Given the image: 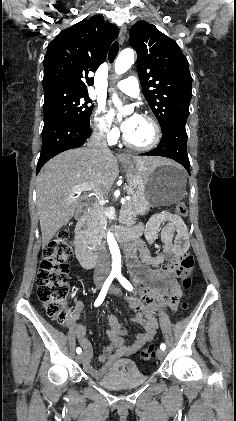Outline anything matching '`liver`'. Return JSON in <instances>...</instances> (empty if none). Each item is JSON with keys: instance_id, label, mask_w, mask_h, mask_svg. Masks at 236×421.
Wrapping results in <instances>:
<instances>
[{"instance_id": "6515ba94", "label": "liver", "mask_w": 236, "mask_h": 421, "mask_svg": "<svg viewBox=\"0 0 236 421\" xmlns=\"http://www.w3.org/2000/svg\"><path fill=\"white\" fill-rule=\"evenodd\" d=\"M135 164H174L155 156H133ZM119 174L118 160L112 152L95 154L90 148H71L50 158L42 166L36 180L37 211L42 233V247L45 249L54 235L68 225L78 211L81 200L89 194L84 190H73L76 184H91L93 194L105 196ZM99 194V196H100Z\"/></svg>"}]
</instances>
